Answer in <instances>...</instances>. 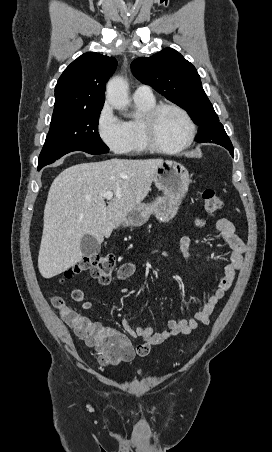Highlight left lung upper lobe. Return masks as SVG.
<instances>
[{"label":"left lung upper lobe","mask_w":272,"mask_h":452,"mask_svg":"<svg viewBox=\"0 0 272 452\" xmlns=\"http://www.w3.org/2000/svg\"><path fill=\"white\" fill-rule=\"evenodd\" d=\"M131 69L138 80L190 114L199 126V143L230 140L202 88L197 70L179 52L165 48L151 57L135 59Z\"/></svg>","instance_id":"5c2ea615"}]
</instances>
